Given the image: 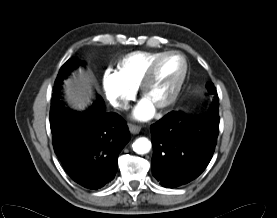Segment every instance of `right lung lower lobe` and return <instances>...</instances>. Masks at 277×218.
Instances as JSON below:
<instances>
[{"mask_svg": "<svg viewBox=\"0 0 277 218\" xmlns=\"http://www.w3.org/2000/svg\"><path fill=\"white\" fill-rule=\"evenodd\" d=\"M63 78L54 83L52 101H62ZM99 97L85 112H73L69 121L53 134V146L64 169L76 183L88 189L108 184L117 172V159L130 134L116 113L104 112Z\"/></svg>", "mask_w": 277, "mask_h": 218, "instance_id": "98d812e1", "label": "right lung lower lobe"}]
</instances>
